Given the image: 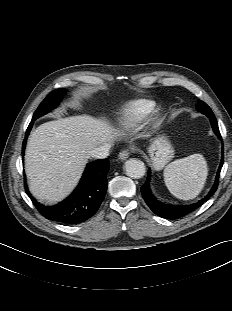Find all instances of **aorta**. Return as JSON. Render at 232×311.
Returning <instances> with one entry per match:
<instances>
[{"instance_id":"762f6f07","label":"aorta","mask_w":232,"mask_h":311,"mask_svg":"<svg viewBox=\"0 0 232 311\" xmlns=\"http://www.w3.org/2000/svg\"><path fill=\"white\" fill-rule=\"evenodd\" d=\"M124 168L127 176L134 179L142 178L146 172L144 163L134 158L127 160L124 164Z\"/></svg>"}]
</instances>
